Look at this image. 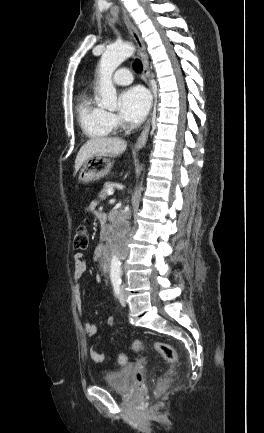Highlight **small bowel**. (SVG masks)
Masks as SVG:
<instances>
[{"instance_id": "obj_1", "label": "small bowel", "mask_w": 264, "mask_h": 433, "mask_svg": "<svg viewBox=\"0 0 264 433\" xmlns=\"http://www.w3.org/2000/svg\"><path fill=\"white\" fill-rule=\"evenodd\" d=\"M97 208V202L96 201H92L89 205V209L93 212L96 211ZM86 269V265H85V261H84V256L82 253H76L74 255V278L76 280H79L82 278L84 272ZM95 281L97 283H100L102 281V277L101 275L97 274L95 276ZM76 305H77V309L79 311V313H81V308H82V301H81V296H80V291L79 288L77 287L76 290ZM106 323L108 325H113L114 324V318L113 317H109L106 320ZM97 325L93 322H86L84 324V331L88 336H94L97 333ZM90 358L95 362V363H102L104 361V355L102 353H100L98 350L96 349H91L90 350Z\"/></svg>"}]
</instances>
